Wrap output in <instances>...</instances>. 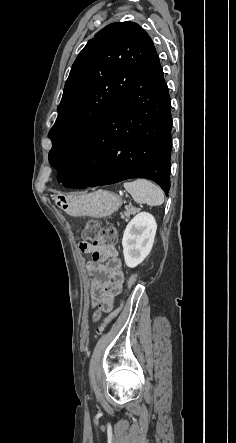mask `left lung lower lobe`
I'll list each match as a JSON object with an SVG mask.
<instances>
[{
    "label": "left lung lower lobe",
    "mask_w": 236,
    "mask_h": 443,
    "mask_svg": "<svg viewBox=\"0 0 236 443\" xmlns=\"http://www.w3.org/2000/svg\"><path fill=\"white\" fill-rule=\"evenodd\" d=\"M171 128L170 96L155 50L57 179L86 188L147 178L168 195Z\"/></svg>",
    "instance_id": "left-lung-lower-lobe-1"
}]
</instances>
